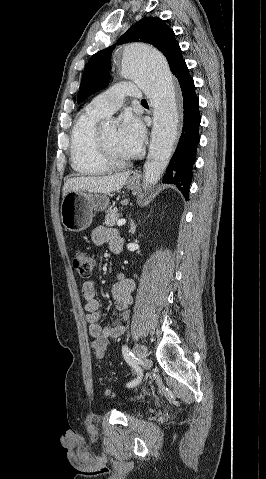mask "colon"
Returning a JSON list of instances; mask_svg holds the SVG:
<instances>
[{"mask_svg":"<svg viewBox=\"0 0 266 479\" xmlns=\"http://www.w3.org/2000/svg\"><path fill=\"white\" fill-rule=\"evenodd\" d=\"M72 264L81 277H89L95 266V258L92 254L81 250H75L72 254ZM92 350L96 358L102 359L107 350V340L98 338L92 343Z\"/></svg>","mask_w":266,"mask_h":479,"instance_id":"5ec220e1","label":"colon"}]
</instances>
